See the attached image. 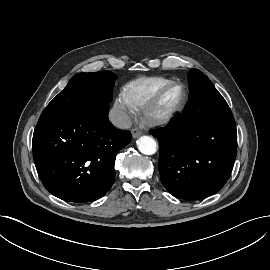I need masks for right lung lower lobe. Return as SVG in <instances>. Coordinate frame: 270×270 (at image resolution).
I'll return each instance as SVG.
<instances>
[{
	"mask_svg": "<svg viewBox=\"0 0 270 270\" xmlns=\"http://www.w3.org/2000/svg\"><path fill=\"white\" fill-rule=\"evenodd\" d=\"M109 105L81 113L40 116L33 134L35 166L54 196L85 203L104 196L114 183L117 153L131 141L108 120Z\"/></svg>",
	"mask_w": 270,
	"mask_h": 270,
	"instance_id": "right-lung-lower-lobe-1",
	"label": "right lung lower lobe"
}]
</instances>
